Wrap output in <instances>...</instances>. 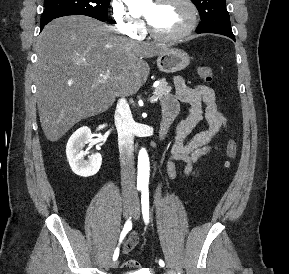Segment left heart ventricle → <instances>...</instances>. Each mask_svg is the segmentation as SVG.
Instances as JSON below:
<instances>
[{
    "label": "left heart ventricle",
    "instance_id": "obj_1",
    "mask_svg": "<svg viewBox=\"0 0 289 274\" xmlns=\"http://www.w3.org/2000/svg\"><path fill=\"white\" fill-rule=\"evenodd\" d=\"M153 28L162 34L183 30L190 20V11L182 0H169L161 4L150 3L143 12Z\"/></svg>",
    "mask_w": 289,
    "mask_h": 274
}]
</instances>
